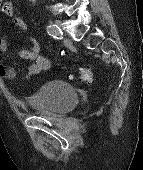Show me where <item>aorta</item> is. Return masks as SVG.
Instances as JSON below:
<instances>
[{
	"mask_svg": "<svg viewBox=\"0 0 143 170\" xmlns=\"http://www.w3.org/2000/svg\"><path fill=\"white\" fill-rule=\"evenodd\" d=\"M32 2H35L36 0H31Z\"/></svg>",
	"mask_w": 143,
	"mask_h": 170,
	"instance_id": "762f6f07",
	"label": "aorta"
}]
</instances>
